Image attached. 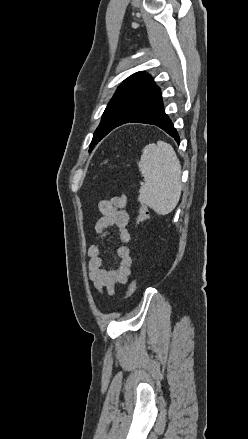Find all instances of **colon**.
Returning a JSON list of instances; mask_svg holds the SVG:
<instances>
[{
  "instance_id": "5ec220e1",
  "label": "colon",
  "mask_w": 248,
  "mask_h": 439,
  "mask_svg": "<svg viewBox=\"0 0 248 439\" xmlns=\"http://www.w3.org/2000/svg\"><path fill=\"white\" fill-rule=\"evenodd\" d=\"M150 217L148 209L143 205L140 204L138 207V218H137V225L140 226L143 223H145ZM137 288V282L135 279H133L127 289L126 297L131 298L133 294L135 293Z\"/></svg>"
}]
</instances>
